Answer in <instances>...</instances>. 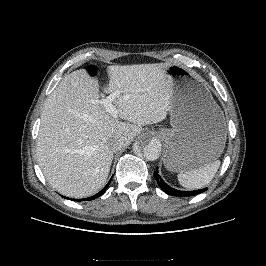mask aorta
<instances>
[{"instance_id":"762f6f07","label":"aorta","mask_w":266,"mask_h":266,"mask_svg":"<svg viewBox=\"0 0 266 266\" xmlns=\"http://www.w3.org/2000/svg\"><path fill=\"white\" fill-rule=\"evenodd\" d=\"M161 141L149 135L142 136L135 145V151L141 152L149 161H155L161 153Z\"/></svg>"}]
</instances>
